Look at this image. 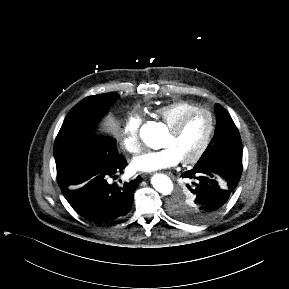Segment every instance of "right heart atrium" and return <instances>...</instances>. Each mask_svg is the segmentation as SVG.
I'll return each instance as SVG.
<instances>
[{
  "mask_svg": "<svg viewBox=\"0 0 289 289\" xmlns=\"http://www.w3.org/2000/svg\"><path fill=\"white\" fill-rule=\"evenodd\" d=\"M142 122L143 118L136 112L130 113L124 121L121 132V144L131 154H137L142 150L139 137Z\"/></svg>",
  "mask_w": 289,
  "mask_h": 289,
  "instance_id": "obj_1",
  "label": "right heart atrium"
}]
</instances>
